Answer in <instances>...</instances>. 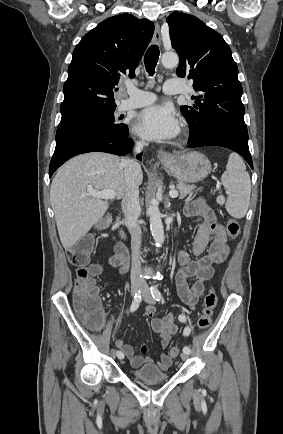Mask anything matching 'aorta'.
Segmentation results:
<instances>
[{"label": "aorta", "instance_id": "aorta-1", "mask_svg": "<svg viewBox=\"0 0 283 434\" xmlns=\"http://www.w3.org/2000/svg\"><path fill=\"white\" fill-rule=\"evenodd\" d=\"M162 65L166 68L176 67L179 63L178 55L175 53H165L161 58ZM148 215L150 219V230L154 238L156 246H161L164 242V228L161 220V213L158 207V202L152 199L148 206Z\"/></svg>", "mask_w": 283, "mask_h": 434}]
</instances>
